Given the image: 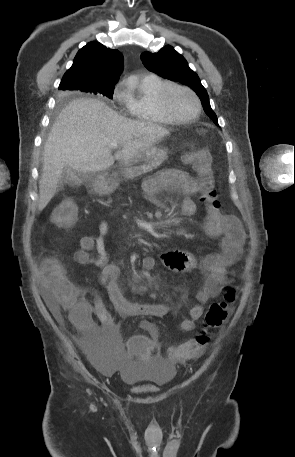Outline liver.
Returning <instances> with one entry per match:
<instances>
[{
  "mask_svg": "<svg viewBox=\"0 0 295 457\" xmlns=\"http://www.w3.org/2000/svg\"><path fill=\"white\" fill-rule=\"evenodd\" d=\"M167 135L166 128L127 119L97 99L73 100L59 114L44 146L38 210L42 211L55 195L64 167L83 173L103 171ZM113 141L121 147L114 156L109 148Z\"/></svg>",
  "mask_w": 295,
  "mask_h": 457,
  "instance_id": "1",
  "label": "liver"
}]
</instances>
